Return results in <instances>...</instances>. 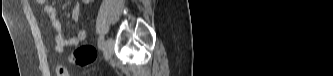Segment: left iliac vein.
I'll return each mask as SVG.
<instances>
[{"label": "left iliac vein", "mask_w": 333, "mask_h": 76, "mask_svg": "<svg viewBox=\"0 0 333 76\" xmlns=\"http://www.w3.org/2000/svg\"><path fill=\"white\" fill-rule=\"evenodd\" d=\"M114 42L112 38H108L103 46L104 58L106 60L110 59L113 54Z\"/></svg>", "instance_id": "1"}]
</instances>
